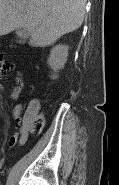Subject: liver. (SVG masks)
<instances>
[{
    "instance_id": "obj_1",
    "label": "liver",
    "mask_w": 119,
    "mask_h": 185,
    "mask_svg": "<svg viewBox=\"0 0 119 185\" xmlns=\"http://www.w3.org/2000/svg\"><path fill=\"white\" fill-rule=\"evenodd\" d=\"M87 0H0V36L15 29L31 35L30 45L45 47L81 27Z\"/></svg>"
}]
</instances>
